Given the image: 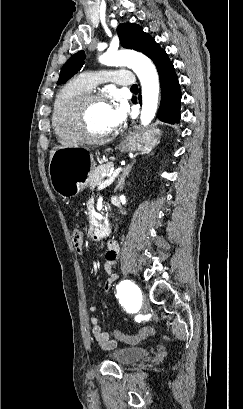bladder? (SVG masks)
Returning a JSON list of instances; mask_svg holds the SVG:
<instances>
[{
	"label": "bladder",
	"instance_id": "31cf9c89",
	"mask_svg": "<svg viewBox=\"0 0 243 409\" xmlns=\"http://www.w3.org/2000/svg\"><path fill=\"white\" fill-rule=\"evenodd\" d=\"M148 355V350L142 347H122L114 349L109 357L120 366L135 363Z\"/></svg>",
	"mask_w": 243,
	"mask_h": 409
}]
</instances>
